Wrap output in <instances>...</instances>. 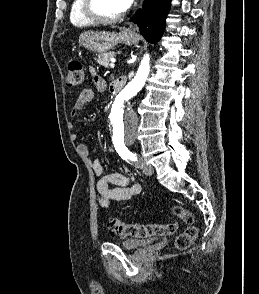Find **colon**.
Wrapping results in <instances>:
<instances>
[{
    "label": "colon",
    "instance_id": "1",
    "mask_svg": "<svg viewBox=\"0 0 259 294\" xmlns=\"http://www.w3.org/2000/svg\"><path fill=\"white\" fill-rule=\"evenodd\" d=\"M86 82V72L82 63L78 60H72L68 64V70L65 75V84L67 87H80ZM174 215L187 224V227L177 236L174 246L176 249L184 250L190 247L197 237L198 230L193 225L194 217L191 211L183 206L173 208ZM111 231L122 237L149 238L154 236H163L174 234L178 228L176 222L167 224H141L122 221L113 217L109 221Z\"/></svg>",
    "mask_w": 259,
    "mask_h": 294
}]
</instances>
